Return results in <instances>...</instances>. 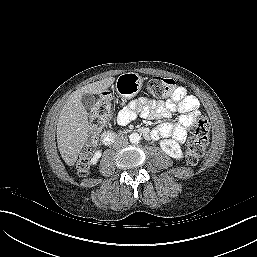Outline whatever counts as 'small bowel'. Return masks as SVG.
I'll use <instances>...</instances> for the list:
<instances>
[{
    "label": "small bowel",
    "instance_id": "small-bowel-1",
    "mask_svg": "<svg viewBox=\"0 0 257 257\" xmlns=\"http://www.w3.org/2000/svg\"><path fill=\"white\" fill-rule=\"evenodd\" d=\"M198 99L187 93L184 87H177L170 99L165 103H156L146 98H138L124 105L117 115V122L125 125L134 120L137 115L144 118H166L173 111L182 115L177 123H162L151 133L150 138L172 137L179 142H184L187 137V130L192 124V116L198 114Z\"/></svg>",
    "mask_w": 257,
    "mask_h": 257
}]
</instances>
